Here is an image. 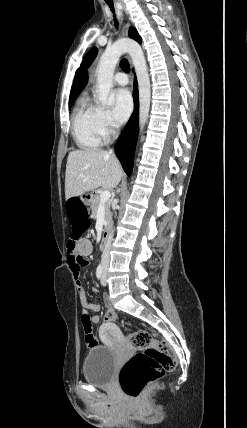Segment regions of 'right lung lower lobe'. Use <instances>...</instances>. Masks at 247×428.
<instances>
[{"mask_svg": "<svg viewBox=\"0 0 247 428\" xmlns=\"http://www.w3.org/2000/svg\"><path fill=\"white\" fill-rule=\"evenodd\" d=\"M135 85L136 86L133 93L135 111L130 117L115 147L116 155L127 175H130L132 172L134 152L138 135V90L136 81Z\"/></svg>", "mask_w": 247, "mask_h": 428, "instance_id": "obj_1", "label": "right lung lower lobe"}]
</instances>
